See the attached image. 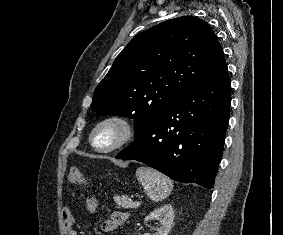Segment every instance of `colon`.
<instances>
[{"label":"colon","instance_id":"1","mask_svg":"<svg viewBox=\"0 0 283 235\" xmlns=\"http://www.w3.org/2000/svg\"><path fill=\"white\" fill-rule=\"evenodd\" d=\"M68 179L71 183L77 185H86L87 179L82 173V171L76 167H72L69 171Z\"/></svg>","mask_w":283,"mask_h":235}]
</instances>
